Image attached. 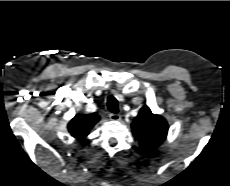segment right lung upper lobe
<instances>
[{
	"instance_id": "right-lung-upper-lobe-1",
	"label": "right lung upper lobe",
	"mask_w": 230,
	"mask_h": 186,
	"mask_svg": "<svg viewBox=\"0 0 230 186\" xmlns=\"http://www.w3.org/2000/svg\"><path fill=\"white\" fill-rule=\"evenodd\" d=\"M96 113L88 115L77 114L68 124V130L72 136L86 137L91 128L99 121Z\"/></svg>"
}]
</instances>
